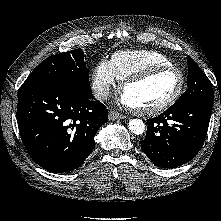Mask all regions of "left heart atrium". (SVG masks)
<instances>
[{
	"instance_id": "left-heart-atrium-1",
	"label": "left heart atrium",
	"mask_w": 221,
	"mask_h": 221,
	"mask_svg": "<svg viewBox=\"0 0 221 221\" xmlns=\"http://www.w3.org/2000/svg\"><path fill=\"white\" fill-rule=\"evenodd\" d=\"M122 102L124 103V104H126V105H129L128 103H127V101L122 97Z\"/></svg>"
}]
</instances>
